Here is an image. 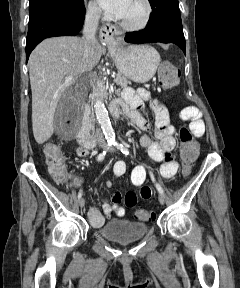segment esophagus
<instances>
[{
    "label": "esophagus",
    "instance_id": "esophagus-1",
    "mask_svg": "<svg viewBox=\"0 0 240 288\" xmlns=\"http://www.w3.org/2000/svg\"><path fill=\"white\" fill-rule=\"evenodd\" d=\"M117 35H119V31L114 25L107 24L101 27L100 37L106 44H113Z\"/></svg>",
    "mask_w": 240,
    "mask_h": 288
}]
</instances>
